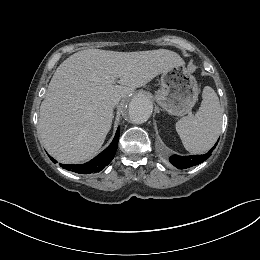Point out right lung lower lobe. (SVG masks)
<instances>
[{
	"label": "right lung lower lobe",
	"mask_w": 260,
	"mask_h": 260,
	"mask_svg": "<svg viewBox=\"0 0 260 260\" xmlns=\"http://www.w3.org/2000/svg\"><path fill=\"white\" fill-rule=\"evenodd\" d=\"M118 140H119V127L117 129V132L111 144L95 158H93L92 160H90L85 164L61 165V166L64 169L76 173H80V174H90V173L100 172L114 158L118 146Z\"/></svg>",
	"instance_id": "obj_1"
}]
</instances>
